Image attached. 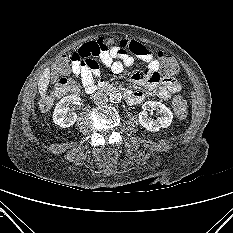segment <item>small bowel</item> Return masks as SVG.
Masks as SVG:
<instances>
[{
  "label": "small bowel",
  "mask_w": 233,
  "mask_h": 233,
  "mask_svg": "<svg viewBox=\"0 0 233 233\" xmlns=\"http://www.w3.org/2000/svg\"><path fill=\"white\" fill-rule=\"evenodd\" d=\"M101 45L103 38L83 44L72 55L71 72L81 81L86 92L93 93L97 87L105 83L99 66L92 57H96L113 73L120 74L126 67L134 64V56L147 64L146 69L131 74L130 79L134 83L154 91L158 98L164 100H168L173 93L180 91L181 86L176 79L161 76L159 61L147 46L137 41L119 38H117V46L113 49L100 48ZM127 93L126 98L130 104H138L145 99L142 91Z\"/></svg>",
  "instance_id": "c3829d8e"
}]
</instances>
